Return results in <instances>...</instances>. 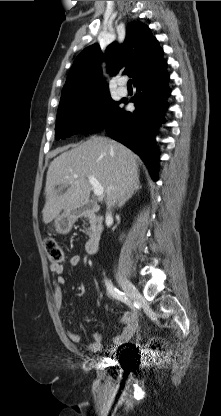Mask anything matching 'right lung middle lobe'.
I'll return each mask as SVG.
<instances>
[{
    "label": "right lung middle lobe",
    "instance_id": "right-lung-middle-lobe-1",
    "mask_svg": "<svg viewBox=\"0 0 221 416\" xmlns=\"http://www.w3.org/2000/svg\"><path fill=\"white\" fill-rule=\"evenodd\" d=\"M119 104L109 92L60 103L55 138L59 140L77 133L90 134L102 130Z\"/></svg>",
    "mask_w": 221,
    "mask_h": 416
}]
</instances>
